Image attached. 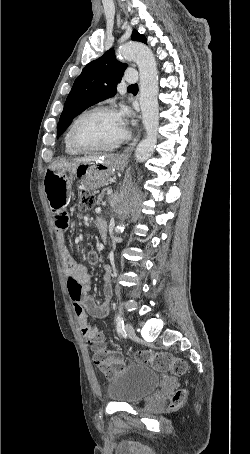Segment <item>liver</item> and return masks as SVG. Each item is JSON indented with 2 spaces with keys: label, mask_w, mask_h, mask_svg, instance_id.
I'll return each instance as SVG.
<instances>
[{
  "label": "liver",
  "mask_w": 250,
  "mask_h": 454,
  "mask_svg": "<svg viewBox=\"0 0 250 454\" xmlns=\"http://www.w3.org/2000/svg\"><path fill=\"white\" fill-rule=\"evenodd\" d=\"M111 156L112 155H104L102 157H99V156H86V157L72 159L71 163H66V164L69 165V166L70 165L71 166H76L79 163H89V162H93V161H96V160L104 158V157H111Z\"/></svg>",
  "instance_id": "6515ba94"
}]
</instances>
